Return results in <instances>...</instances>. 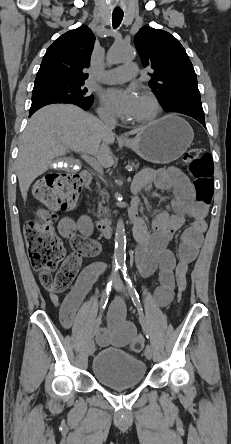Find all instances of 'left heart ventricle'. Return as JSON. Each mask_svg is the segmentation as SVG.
<instances>
[{
    "mask_svg": "<svg viewBox=\"0 0 231 444\" xmlns=\"http://www.w3.org/2000/svg\"><path fill=\"white\" fill-rule=\"evenodd\" d=\"M151 112V105L150 103L140 95L138 96L137 105L135 108V111L132 115V119H136L142 116H145Z\"/></svg>",
    "mask_w": 231,
    "mask_h": 444,
    "instance_id": "obj_1",
    "label": "left heart ventricle"
}]
</instances>
